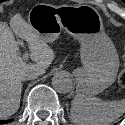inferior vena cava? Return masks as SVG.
<instances>
[{
  "instance_id": "inferior-vena-cava-1",
  "label": "inferior vena cava",
  "mask_w": 125,
  "mask_h": 125,
  "mask_svg": "<svg viewBox=\"0 0 125 125\" xmlns=\"http://www.w3.org/2000/svg\"><path fill=\"white\" fill-rule=\"evenodd\" d=\"M39 76L36 72H28L22 76V80H33L36 79Z\"/></svg>"
}]
</instances>
